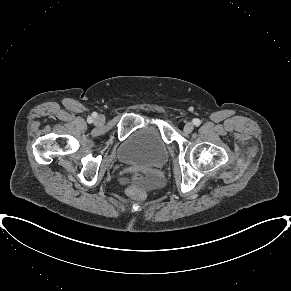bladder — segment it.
<instances>
[{
    "mask_svg": "<svg viewBox=\"0 0 291 291\" xmlns=\"http://www.w3.org/2000/svg\"><path fill=\"white\" fill-rule=\"evenodd\" d=\"M117 157L125 164L158 167L168 160L169 149L159 128L150 124L130 134L120 145Z\"/></svg>",
    "mask_w": 291,
    "mask_h": 291,
    "instance_id": "1",
    "label": "bladder"
}]
</instances>
